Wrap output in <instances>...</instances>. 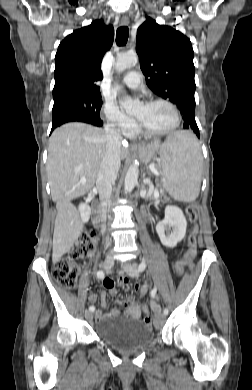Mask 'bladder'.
<instances>
[{"mask_svg":"<svg viewBox=\"0 0 252 390\" xmlns=\"http://www.w3.org/2000/svg\"><path fill=\"white\" fill-rule=\"evenodd\" d=\"M95 335L105 344L122 352H133L154 340L151 327L129 319L104 318L95 324Z\"/></svg>","mask_w":252,"mask_h":390,"instance_id":"31cf9c89","label":"bladder"}]
</instances>
